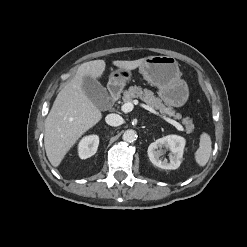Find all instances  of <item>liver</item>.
Wrapping results in <instances>:
<instances>
[{"instance_id": "1", "label": "liver", "mask_w": 247, "mask_h": 247, "mask_svg": "<svg viewBox=\"0 0 247 247\" xmlns=\"http://www.w3.org/2000/svg\"><path fill=\"white\" fill-rule=\"evenodd\" d=\"M144 59L113 61L119 69L134 70ZM104 60L83 63L75 76L58 93L45 120L44 146L48 160L58 167L79 138L102 118V113L83 90L84 77L100 78L105 71Z\"/></svg>"}]
</instances>
